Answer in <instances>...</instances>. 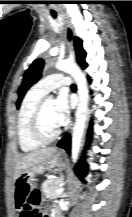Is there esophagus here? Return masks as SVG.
<instances>
[{
	"label": "esophagus",
	"mask_w": 132,
	"mask_h": 217,
	"mask_svg": "<svg viewBox=\"0 0 132 217\" xmlns=\"http://www.w3.org/2000/svg\"><path fill=\"white\" fill-rule=\"evenodd\" d=\"M65 29H66V36H67V44L70 48H73L74 30L71 24L67 20L65 21Z\"/></svg>",
	"instance_id": "esophagus-1"
}]
</instances>
